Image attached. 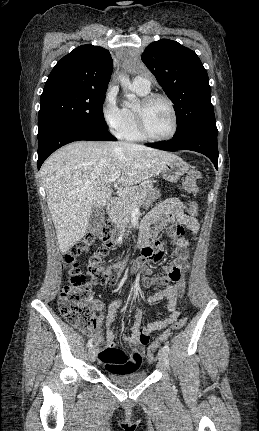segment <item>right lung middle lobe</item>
Listing matches in <instances>:
<instances>
[{
  "label": "right lung middle lobe",
  "instance_id": "dd1d6c3e",
  "mask_svg": "<svg viewBox=\"0 0 259 431\" xmlns=\"http://www.w3.org/2000/svg\"><path fill=\"white\" fill-rule=\"evenodd\" d=\"M106 91L56 87L41 95L38 128L62 121L78 122L99 129H107L103 115Z\"/></svg>",
  "mask_w": 259,
  "mask_h": 431
}]
</instances>
